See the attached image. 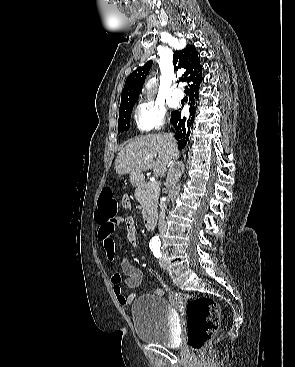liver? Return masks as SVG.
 <instances>
[{"label":"liver","instance_id":"obj_1","mask_svg":"<svg viewBox=\"0 0 295 367\" xmlns=\"http://www.w3.org/2000/svg\"><path fill=\"white\" fill-rule=\"evenodd\" d=\"M177 156V146L175 144L170 148L167 135L148 134L135 138L119 152L115 160V170L117 174L123 175L141 174L153 169L156 176L163 177L170 162Z\"/></svg>","mask_w":295,"mask_h":367}]
</instances>
